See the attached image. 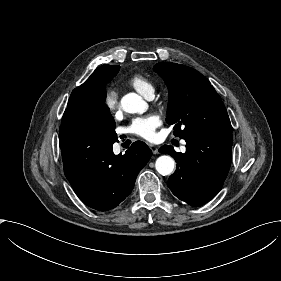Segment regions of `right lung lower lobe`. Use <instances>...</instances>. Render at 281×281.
<instances>
[{
	"label": "right lung lower lobe",
	"mask_w": 281,
	"mask_h": 281,
	"mask_svg": "<svg viewBox=\"0 0 281 281\" xmlns=\"http://www.w3.org/2000/svg\"><path fill=\"white\" fill-rule=\"evenodd\" d=\"M93 89L71 94L59 130L64 173L87 206L107 211L132 191L152 151L142 141L115 155V121L104 101L92 99Z\"/></svg>",
	"instance_id": "right-lung-lower-lobe-1"
}]
</instances>
